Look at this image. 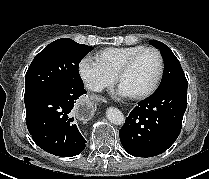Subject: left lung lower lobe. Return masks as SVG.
<instances>
[{
    "label": "left lung lower lobe",
    "instance_id": "0a47b994",
    "mask_svg": "<svg viewBox=\"0 0 209 179\" xmlns=\"http://www.w3.org/2000/svg\"><path fill=\"white\" fill-rule=\"evenodd\" d=\"M187 107V83L156 91L131 111L119 130L121 143L132 156L165 152L180 134Z\"/></svg>",
    "mask_w": 209,
    "mask_h": 179
}]
</instances>
